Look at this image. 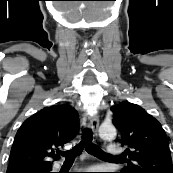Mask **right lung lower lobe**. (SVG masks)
Listing matches in <instances>:
<instances>
[{
    "label": "right lung lower lobe",
    "instance_id": "98d812e1",
    "mask_svg": "<svg viewBox=\"0 0 173 173\" xmlns=\"http://www.w3.org/2000/svg\"><path fill=\"white\" fill-rule=\"evenodd\" d=\"M52 167H44V168H26L11 171L10 173H51Z\"/></svg>",
    "mask_w": 173,
    "mask_h": 173
}]
</instances>
